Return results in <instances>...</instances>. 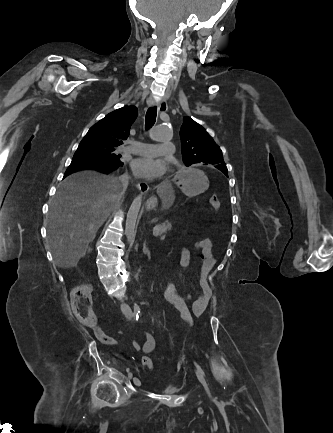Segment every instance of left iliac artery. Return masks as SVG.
Masks as SVG:
<instances>
[{"label": "left iliac artery", "mask_w": 333, "mask_h": 433, "mask_svg": "<svg viewBox=\"0 0 333 433\" xmlns=\"http://www.w3.org/2000/svg\"><path fill=\"white\" fill-rule=\"evenodd\" d=\"M134 312L137 315H138V313L140 314V308L137 304L134 305ZM195 366L198 370H200L202 372V374H204V372L202 371V369L200 368V366L198 364L195 363Z\"/></svg>", "instance_id": "obj_1"}]
</instances>
